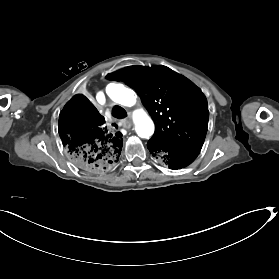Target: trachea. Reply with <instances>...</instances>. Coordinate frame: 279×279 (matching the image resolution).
Segmentation results:
<instances>
[{
	"label": "trachea",
	"mask_w": 279,
	"mask_h": 279,
	"mask_svg": "<svg viewBox=\"0 0 279 279\" xmlns=\"http://www.w3.org/2000/svg\"><path fill=\"white\" fill-rule=\"evenodd\" d=\"M112 115L115 118H125L127 116V112L122 107L116 105L113 108Z\"/></svg>",
	"instance_id": "trachea-1"
}]
</instances>
